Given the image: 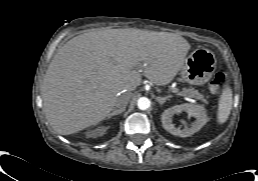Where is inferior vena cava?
<instances>
[{
	"label": "inferior vena cava",
	"mask_w": 258,
	"mask_h": 181,
	"mask_svg": "<svg viewBox=\"0 0 258 181\" xmlns=\"http://www.w3.org/2000/svg\"><path fill=\"white\" fill-rule=\"evenodd\" d=\"M131 96V93H124L117 98L115 106L118 108V110H124L126 108Z\"/></svg>",
	"instance_id": "obj_1"
}]
</instances>
